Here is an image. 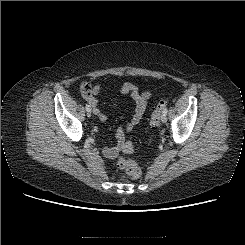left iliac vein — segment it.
<instances>
[{
	"instance_id": "1",
	"label": "left iliac vein",
	"mask_w": 245,
	"mask_h": 245,
	"mask_svg": "<svg viewBox=\"0 0 245 245\" xmlns=\"http://www.w3.org/2000/svg\"><path fill=\"white\" fill-rule=\"evenodd\" d=\"M167 121V115L166 114H162L161 116V122L165 123Z\"/></svg>"
}]
</instances>
